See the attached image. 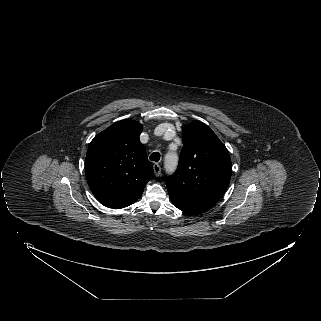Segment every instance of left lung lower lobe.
<instances>
[{
  "label": "left lung lower lobe",
  "mask_w": 321,
  "mask_h": 321,
  "mask_svg": "<svg viewBox=\"0 0 321 321\" xmlns=\"http://www.w3.org/2000/svg\"><path fill=\"white\" fill-rule=\"evenodd\" d=\"M169 197L174 206H176L178 209L190 215L201 214L208 211L211 208L203 205L187 203V202L178 200L172 196H169Z\"/></svg>",
  "instance_id": "0a47b994"
}]
</instances>
